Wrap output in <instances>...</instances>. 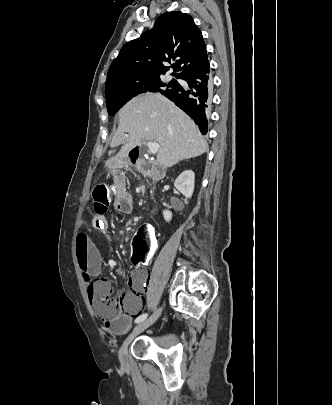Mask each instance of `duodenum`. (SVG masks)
I'll return each mask as SVG.
<instances>
[{
    "label": "duodenum",
    "instance_id": "obj_1",
    "mask_svg": "<svg viewBox=\"0 0 332 405\" xmlns=\"http://www.w3.org/2000/svg\"><path fill=\"white\" fill-rule=\"evenodd\" d=\"M128 158H129V161L131 163L135 164L140 160L141 155H140V153L138 151L132 150V151L129 152ZM150 170H151V173H152V177L155 180H160V179L163 178V174L158 170L157 167H151Z\"/></svg>",
    "mask_w": 332,
    "mask_h": 405
}]
</instances>
